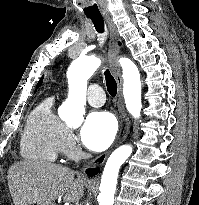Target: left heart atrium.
Segmentation results:
<instances>
[{"label": "left heart atrium", "mask_w": 199, "mask_h": 205, "mask_svg": "<svg viewBox=\"0 0 199 205\" xmlns=\"http://www.w3.org/2000/svg\"><path fill=\"white\" fill-rule=\"evenodd\" d=\"M117 123L112 114L105 111L90 113L80 130L82 143L93 151H102L113 142Z\"/></svg>", "instance_id": "obj_1"}]
</instances>
